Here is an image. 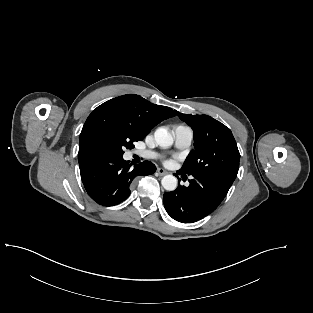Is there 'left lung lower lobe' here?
Here are the masks:
<instances>
[{
    "instance_id": "0a47b994",
    "label": "left lung lower lobe",
    "mask_w": 313,
    "mask_h": 313,
    "mask_svg": "<svg viewBox=\"0 0 313 313\" xmlns=\"http://www.w3.org/2000/svg\"><path fill=\"white\" fill-rule=\"evenodd\" d=\"M177 173L182 174L180 170ZM189 182L188 187L179 184L176 190L163 195L167 213L182 223H193L212 213L232 185L212 177H193Z\"/></svg>"
}]
</instances>
